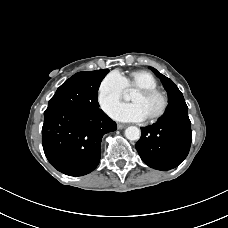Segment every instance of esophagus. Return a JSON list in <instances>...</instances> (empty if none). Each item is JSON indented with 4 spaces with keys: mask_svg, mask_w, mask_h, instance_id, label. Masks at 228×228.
Listing matches in <instances>:
<instances>
[{
    "mask_svg": "<svg viewBox=\"0 0 228 228\" xmlns=\"http://www.w3.org/2000/svg\"><path fill=\"white\" fill-rule=\"evenodd\" d=\"M125 127H126L125 124H121V123H118V124H117V128H118L119 130H121V129L125 128Z\"/></svg>",
    "mask_w": 228,
    "mask_h": 228,
    "instance_id": "esophagus-1",
    "label": "esophagus"
}]
</instances>
